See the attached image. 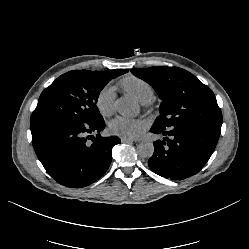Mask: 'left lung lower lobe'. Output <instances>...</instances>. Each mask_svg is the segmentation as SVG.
<instances>
[{
	"label": "left lung lower lobe",
	"mask_w": 249,
	"mask_h": 249,
	"mask_svg": "<svg viewBox=\"0 0 249 249\" xmlns=\"http://www.w3.org/2000/svg\"><path fill=\"white\" fill-rule=\"evenodd\" d=\"M152 133L163 140L153 142L154 153L148 166L156 174L182 180L198 173L212 155L221 132V124L189 122L172 127L153 125Z\"/></svg>",
	"instance_id": "1"
}]
</instances>
